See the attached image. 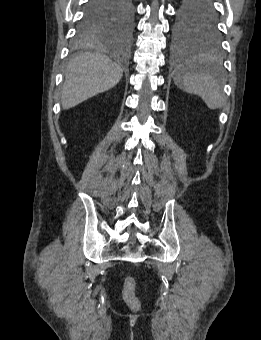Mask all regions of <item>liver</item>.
I'll use <instances>...</instances> for the list:
<instances>
[{
	"label": "liver",
	"mask_w": 261,
	"mask_h": 340,
	"mask_svg": "<svg viewBox=\"0 0 261 340\" xmlns=\"http://www.w3.org/2000/svg\"><path fill=\"white\" fill-rule=\"evenodd\" d=\"M122 69L100 53H83L68 65L62 88L61 104L70 109L113 88L122 78Z\"/></svg>",
	"instance_id": "obj_1"
}]
</instances>
